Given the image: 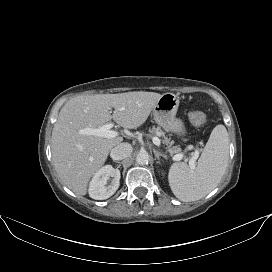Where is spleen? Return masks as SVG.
<instances>
[{"label":"spleen","instance_id":"spleen-1","mask_svg":"<svg viewBox=\"0 0 272 272\" xmlns=\"http://www.w3.org/2000/svg\"><path fill=\"white\" fill-rule=\"evenodd\" d=\"M229 159V138L224 125H217L192 170L184 162L174 163L168 180L173 194L181 201L189 202L203 198L221 181Z\"/></svg>","mask_w":272,"mask_h":272}]
</instances>
